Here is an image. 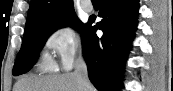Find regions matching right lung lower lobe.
<instances>
[{
	"label": "right lung lower lobe",
	"instance_id": "obj_1",
	"mask_svg": "<svg viewBox=\"0 0 173 91\" xmlns=\"http://www.w3.org/2000/svg\"><path fill=\"white\" fill-rule=\"evenodd\" d=\"M102 21L88 22L82 33L88 75L99 91H117L137 27L138 0H103ZM103 31L99 38L96 30Z\"/></svg>",
	"mask_w": 173,
	"mask_h": 91
}]
</instances>
